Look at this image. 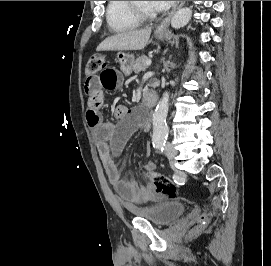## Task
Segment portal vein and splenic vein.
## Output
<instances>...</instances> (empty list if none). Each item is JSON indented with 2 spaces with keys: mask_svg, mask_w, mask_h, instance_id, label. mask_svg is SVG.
I'll use <instances>...</instances> for the list:
<instances>
[{
  "mask_svg": "<svg viewBox=\"0 0 271 266\" xmlns=\"http://www.w3.org/2000/svg\"><path fill=\"white\" fill-rule=\"evenodd\" d=\"M145 64H146V66H150L152 64V61L151 60H147Z\"/></svg>",
  "mask_w": 271,
  "mask_h": 266,
  "instance_id": "obj_1",
  "label": "portal vein and splenic vein"
}]
</instances>
